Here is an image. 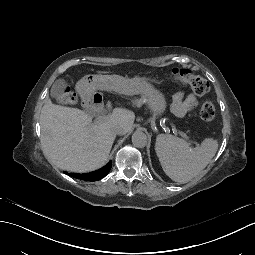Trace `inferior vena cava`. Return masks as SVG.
<instances>
[{"label": "inferior vena cava", "mask_w": 255, "mask_h": 255, "mask_svg": "<svg viewBox=\"0 0 255 255\" xmlns=\"http://www.w3.org/2000/svg\"><path fill=\"white\" fill-rule=\"evenodd\" d=\"M111 130L118 135H124L127 132L126 127L123 124H116L112 126Z\"/></svg>", "instance_id": "inferior-vena-cava-1"}]
</instances>
